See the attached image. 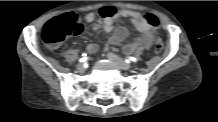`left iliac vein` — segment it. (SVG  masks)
I'll use <instances>...</instances> for the list:
<instances>
[{"label":"left iliac vein","instance_id":"1","mask_svg":"<svg viewBox=\"0 0 218 122\" xmlns=\"http://www.w3.org/2000/svg\"><path fill=\"white\" fill-rule=\"evenodd\" d=\"M107 58L113 61L122 70H130L132 68L130 64L125 62L122 58H120L114 53L109 52L107 54Z\"/></svg>","mask_w":218,"mask_h":122}]
</instances>
